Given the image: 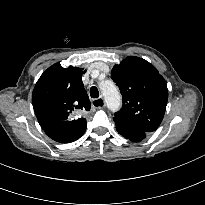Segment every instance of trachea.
<instances>
[{"label":"trachea","mask_w":205,"mask_h":205,"mask_svg":"<svg viewBox=\"0 0 205 205\" xmlns=\"http://www.w3.org/2000/svg\"><path fill=\"white\" fill-rule=\"evenodd\" d=\"M90 96L92 98H98L99 97V91H98L97 87H95V86L91 87Z\"/></svg>","instance_id":"obj_1"}]
</instances>
